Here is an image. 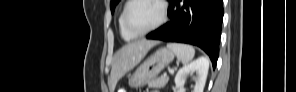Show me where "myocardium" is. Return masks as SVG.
I'll return each instance as SVG.
<instances>
[{"label": "myocardium", "instance_id": "f54148a6", "mask_svg": "<svg viewBox=\"0 0 296 92\" xmlns=\"http://www.w3.org/2000/svg\"><path fill=\"white\" fill-rule=\"evenodd\" d=\"M137 1H141V0H131L129 1L126 6H125V9H124V13H123V23H124V26L126 28V30L133 36L135 37H140V36H144L156 29H158L165 21H166V18H167V7H166V4L164 1L162 0H152V1H155L157 2V4L159 5L160 7V10H161V14H160V18L159 20L153 25L151 26L150 28L146 29V30H143V31H136L134 30L130 24H129V20H128V13H129V10L131 8V6L137 2Z\"/></svg>", "mask_w": 296, "mask_h": 92}]
</instances>
